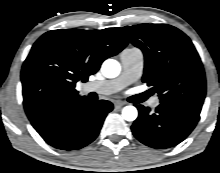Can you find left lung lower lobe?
Returning <instances> with one entry per match:
<instances>
[{
	"mask_svg": "<svg viewBox=\"0 0 220 173\" xmlns=\"http://www.w3.org/2000/svg\"><path fill=\"white\" fill-rule=\"evenodd\" d=\"M139 116L131 129L143 144L164 149L182 142L194 129L200 116L172 105L160 104L155 113L149 107L136 105Z\"/></svg>",
	"mask_w": 220,
	"mask_h": 173,
	"instance_id": "0a47b994",
	"label": "left lung lower lobe"
}]
</instances>
